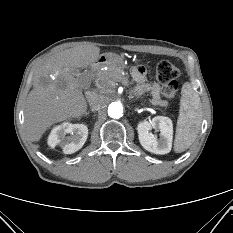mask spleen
Instances as JSON below:
<instances>
[{
    "label": "spleen",
    "mask_w": 233,
    "mask_h": 233,
    "mask_svg": "<svg viewBox=\"0 0 233 233\" xmlns=\"http://www.w3.org/2000/svg\"><path fill=\"white\" fill-rule=\"evenodd\" d=\"M180 112L174 140V150L181 153L196 140L202 122L201 101L191 83L182 86Z\"/></svg>",
    "instance_id": "3e777b00"
}]
</instances>
